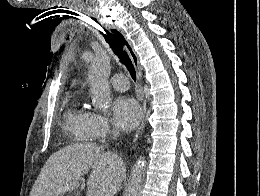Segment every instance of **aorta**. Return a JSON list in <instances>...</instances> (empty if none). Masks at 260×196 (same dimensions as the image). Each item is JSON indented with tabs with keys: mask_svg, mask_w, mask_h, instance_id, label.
<instances>
[{
	"mask_svg": "<svg viewBox=\"0 0 260 196\" xmlns=\"http://www.w3.org/2000/svg\"><path fill=\"white\" fill-rule=\"evenodd\" d=\"M111 58L105 50L95 54L89 70L88 81L93 104L100 110H107L111 103L109 76ZM146 170L145 157H140L132 167L127 196H141Z\"/></svg>",
	"mask_w": 260,
	"mask_h": 196,
	"instance_id": "aorta-1",
	"label": "aorta"
}]
</instances>
